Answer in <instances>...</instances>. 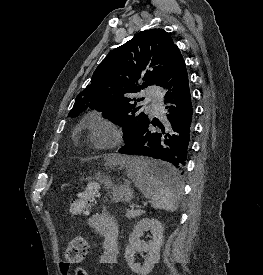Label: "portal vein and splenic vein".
Returning <instances> with one entry per match:
<instances>
[{"mask_svg":"<svg viewBox=\"0 0 263 275\" xmlns=\"http://www.w3.org/2000/svg\"><path fill=\"white\" fill-rule=\"evenodd\" d=\"M144 205H147V202H144ZM137 207H139V206H137Z\"/></svg>","mask_w":263,"mask_h":275,"instance_id":"18ae733b","label":"portal vein and splenic vein"}]
</instances>
